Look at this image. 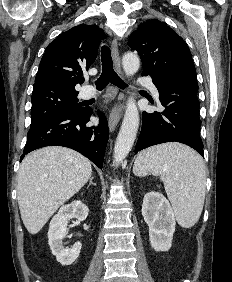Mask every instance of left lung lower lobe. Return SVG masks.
Segmentation results:
<instances>
[{"instance_id":"0a47b994","label":"left lung lower lobe","mask_w":232,"mask_h":282,"mask_svg":"<svg viewBox=\"0 0 232 282\" xmlns=\"http://www.w3.org/2000/svg\"><path fill=\"white\" fill-rule=\"evenodd\" d=\"M153 83L159 91V99L164 111L143 113L142 128L135 153L165 142H180L204 156L200 138L198 84L154 79Z\"/></svg>"}]
</instances>
